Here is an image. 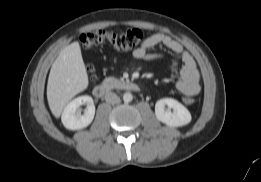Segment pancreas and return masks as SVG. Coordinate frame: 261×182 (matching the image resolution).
Wrapping results in <instances>:
<instances>
[{"instance_id":"pancreas-1","label":"pancreas","mask_w":261,"mask_h":182,"mask_svg":"<svg viewBox=\"0 0 261 182\" xmlns=\"http://www.w3.org/2000/svg\"><path fill=\"white\" fill-rule=\"evenodd\" d=\"M102 84L109 89L119 88L123 85V80H118L114 77H106Z\"/></svg>"}]
</instances>
